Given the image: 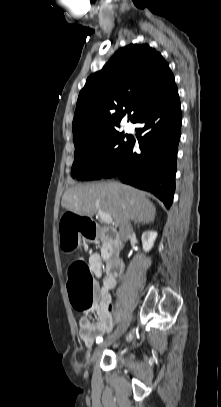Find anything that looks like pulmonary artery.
I'll return each mask as SVG.
<instances>
[{"instance_id":"obj_1","label":"pulmonary artery","mask_w":221,"mask_h":407,"mask_svg":"<svg viewBox=\"0 0 221 407\" xmlns=\"http://www.w3.org/2000/svg\"><path fill=\"white\" fill-rule=\"evenodd\" d=\"M132 129H133V125H132L131 123H127V124L125 125V130H126V131H132Z\"/></svg>"}]
</instances>
